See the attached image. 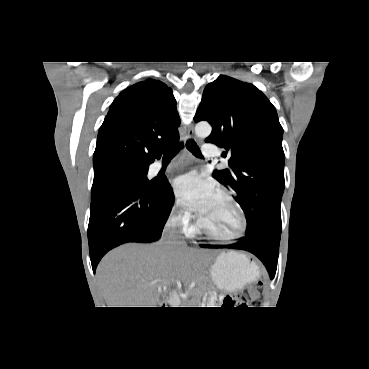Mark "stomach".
<instances>
[{
	"label": "stomach",
	"instance_id": "obj_1",
	"mask_svg": "<svg viewBox=\"0 0 369 369\" xmlns=\"http://www.w3.org/2000/svg\"><path fill=\"white\" fill-rule=\"evenodd\" d=\"M216 286L225 292H235L258 276L257 266L238 252L220 254L210 269Z\"/></svg>",
	"mask_w": 369,
	"mask_h": 369
}]
</instances>
